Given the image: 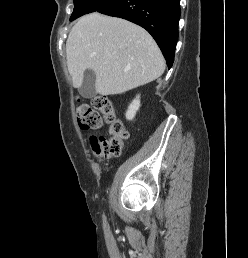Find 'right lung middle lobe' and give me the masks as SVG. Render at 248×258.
<instances>
[{
    "label": "right lung middle lobe",
    "instance_id": "dd1d6c3e",
    "mask_svg": "<svg viewBox=\"0 0 248 258\" xmlns=\"http://www.w3.org/2000/svg\"><path fill=\"white\" fill-rule=\"evenodd\" d=\"M112 1L113 0H74V10L70 21L75 20L84 14L98 11Z\"/></svg>",
    "mask_w": 248,
    "mask_h": 258
}]
</instances>
